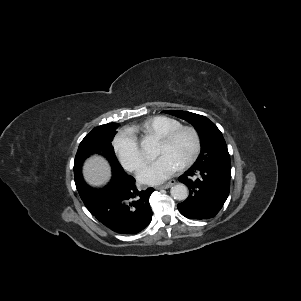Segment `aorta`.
Segmentation results:
<instances>
[{"instance_id":"762f6f07","label":"aorta","mask_w":301,"mask_h":301,"mask_svg":"<svg viewBox=\"0 0 301 301\" xmlns=\"http://www.w3.org/2000/svg\"><path fill=\"white\" fill-rule=\"evenodd\" d=\"M141 145L144 149L148 148L147 141H143ZM170 193L174 199L183 201L188 197V188L184 184H177L170 189Z\"/></svg>"}]
</instances>
